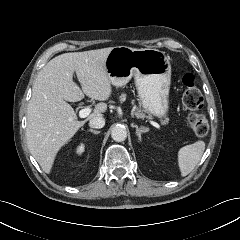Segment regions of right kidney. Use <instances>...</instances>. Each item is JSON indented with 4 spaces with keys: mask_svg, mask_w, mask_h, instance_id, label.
Segmentation results:
<instances>
[{
    "mask_svg": "<svg viewBox=\"0 0 240 240\" xmlns=\"http://www.w3.org/2000/svg\"><path fill=\"white\" fill-rule=\"evenodd\" d=\"M83 151H84V146H83V144H81V145L78 147L77 152H78V153H82Z\"/></svg>",
    "mask_w": 240,
    "mask_h": 240,
    "instance_id": "ca27d5eb",
    "label": "right kidney"
}]
</instances>
